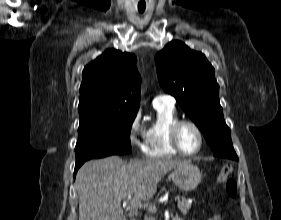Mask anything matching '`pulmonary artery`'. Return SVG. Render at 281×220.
Returning a JSON list of instances; mask_svg holds the SVG:
<instances>
[{"label":"pulmonary artery","mask_w":281,"mask_h":220,"mask_svg":"<svg viewBox=\"0 0 281 220\" xmlns=\"http://www.w3.org/2000/svg\"><path fill=\"white\" fill-rule=\"evenodd\" d=\"M175 99L167 94H159L153 99V105L166 104L174 106Z\"/></svg>","instance_id":"1"}]
</instances>
